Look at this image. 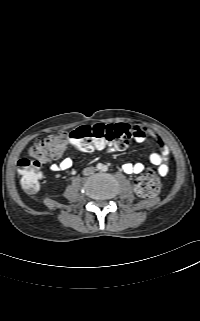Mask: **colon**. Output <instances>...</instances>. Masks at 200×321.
I'll list each match as a JSON object with an SVG mask.
<instances>
[{
  "label": "colon",
  "mask_w": 200,
  "mask_h": 321,
  "mask_svg": "<svg viewBox=\"0 0 200 321\" xmlns=\"http://www.w3.org/2000/svg\"><path fill=\"white\" fill-rule=\"evenodd\" d=\"M132 133L127 126L84 125L69 133L50 134L38 138L29 151L30 157H24L17 162V171L21 177V185L28 193H35L40 187L41 165L59 154L67 142L83 151L101 149L113 145L116 149H124ZM161 189L160 179L152 171L138 177L134 190L142 198L155 197Z\"/></svg>",
  "instance_id": "1"
}]
</instances>
